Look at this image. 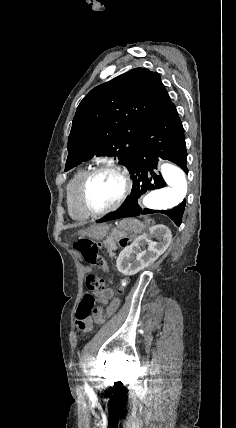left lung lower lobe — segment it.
Listing matches in <instances>:
<instances>
[{"instance_id": "left-lung-lower-lobe-1", "label": "left lung lower lobe", "mask_w": 236, "mask_h": 428, "mask_svg": "<svg viewBox=\"0 0 236 428\" xmlns=\"http://www.w3.org/2000/svg\"><path fill=\"white\" fill-rule=\"evenodd\" d=\"M137 146L138 148L128 165L133 179V187L129 198L118 210L97 220V223L125 217L161 213L168 215L179 226L186 200H183L180 205L170 210L145 209L141 208L137 203L138 198L146 191L166 186L162 176L154 171L157 168L158 157L172 161L182 168L185 173H188L184 129L173 103L143 129Z\"/></svg>"}]
</instances>
